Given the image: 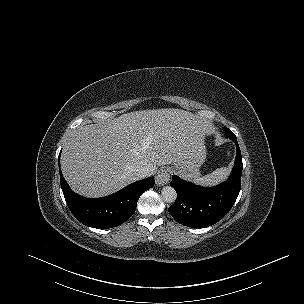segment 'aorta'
I'll return each instance as SVG.
<instances>
[{"label":"aorta","instance_id":"1","mask_svg":"<svg viewBox=\"0 0 304 304\" xmlns=\"http://www.w3.org/2000/svg\"><path fill=\"white\" fill-rule=\"evenodd\" d=\"M161 197L167 203H174L177 198V192L171 186H164L161 191Z\"/></svg>","mask_w":304,"mask_h":304}]
</instances>
